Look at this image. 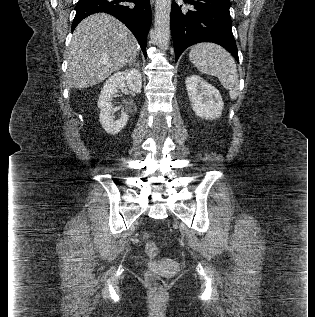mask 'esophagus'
I'll return each mask as SVG.
<instances>
[{
  "label": "esophagus",
  "instance_id": "34e87169",
  "mask_svg": "<svg viewBox=\"0 0 315 317\" xmlns=\"http://www.w3.org/2000/svg\"><path fill=\"white\" fill-rule=\"evenodd\" d=\"M150 2H151V5H153V4H154V0H150Z\"/></svg>",
  "mask_w": 315,
  "mask_h": 317
}]
</instances>
